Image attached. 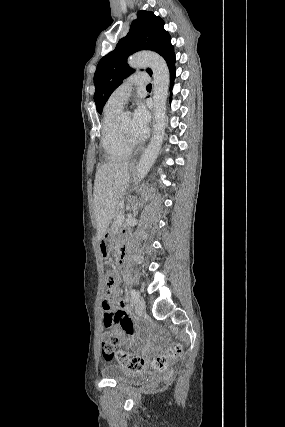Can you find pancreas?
I'll return each mask as SVG.
<instances>
[{
    "label": "pancreas",
    "instance_id": "cf45deb5",
    "mask_svg": "<svg viewBox=\"0 0 285 427\" xmlns=\"http://www.w3.org/2000/svg\"><path fill=\"white\" fill-rule=\"evenodd\" d=\"M123 214L122 210H118L115 214V218H114V223H113V228L116 229L119 226L120 220L119 217Z\"/></svg>",
    "mask_w": 285,
    "mask_h": 427
}]
</instances>
